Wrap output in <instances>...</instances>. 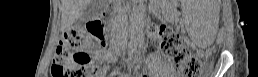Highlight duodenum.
Instances as JSON below:
<instances>
[{
  "instance_id": "duodenum-1",
  "label": "duodenum",
  "mask_w": 258,
  "mask_h": 77,
  "mask_svg": "<svg viewBox=\"0 0 258 77\" xmlns=\"http://www.w3.org/2000/svg\"><path fill=\"white\" fill-rule=\"evenodd\" d=\"M101 27V24L99 21H90L88 22V30L91 33H94ZM117 46L120 50H123V45L121 43V40H117Z\"/></svg>"
}]
</instances>
